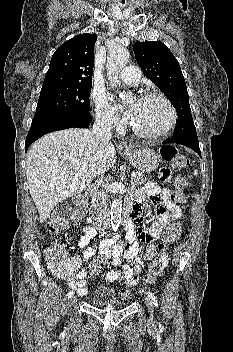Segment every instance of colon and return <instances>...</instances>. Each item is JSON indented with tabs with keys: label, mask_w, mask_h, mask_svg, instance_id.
Listing matches in <instances>:
<instances>
[{
	"label": "colon",
	"mask_w": 233,
	"mask_h": 352,
	"mask_svg": "<svg viewBox=\"0 0 233 352\" xmlns=\"http://www.w3.org/2000/svg\"><path fill=\"white\" fill-rule=\"evenodd\" d=\"M160 155L166 164L171 165L173 168L180 170L188 165V160L183 156L175 146L164 145L160 149ZM159 176L162 181L170 182L172 179L171 169L168 166H163L160 169ZM177 191L173 195L174 199L179 202H184V195L182 189L185 185L184 178H178L176 181ZM84 211V203L82 199H78L75 203V208L70 215V220L78 219ZM68 220L61 215L55 214L51 217L47 225V230L50 235H55L60 227H65ZM181 224L179 222L171 223L163 232L162 243L159 245L160 252H165L169 245L177 241L181 235ZM42 252L48 261L49 270L57 277H65L73 271V266L68 262L67 258L62 255V247L55 242H45L42 245ZM110 258L99 253L95 256L89 264V274L94 277L101 273V271L108 267ZM164 270V262L159 256L155 258L147 271L146 282L154 283L159 276L162 275ZM123 297H127L128 293L125 290L121 291Z\"/></svg>",
	"instance_id": "obj_1"
}]
</instances>
